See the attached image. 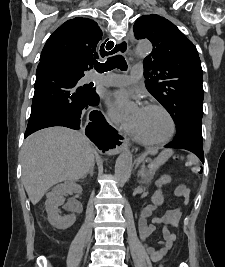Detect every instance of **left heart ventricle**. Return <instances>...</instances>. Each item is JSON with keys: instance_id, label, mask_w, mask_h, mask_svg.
Masks as SVG:
<instances>
[{"instance_id": "1", "label": "left heart ventricle", "mask_w": 225, "mask_h": 267, "mask_svg": "<svg viewBox=\"0 0 225 267\" xmlns=\"http://www.w3.org/2000/svg\"><path fill=\"white\" fill-rule=\"evenodd\" d=\"M134 124L151 140H162L171 132V122L158 109L141 108L133 114Z\"/></svg>"}]
</instances>
